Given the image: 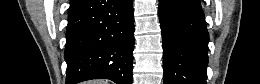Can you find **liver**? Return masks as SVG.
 Wrapping results in <instances>:
<instances>
[{
    "label": "liver",
    "mask_w": 260,
    "mask_h": 84,
    "mask_svg": "<svg viewBox=\"0 0 260 84\" xmlns=\"http://www.w3.org/2000/svg\"><path fill=\"white\" fill-rule=\"evenodd\" d=\"M88 84H108L107 81L104 80H93L90 81Z\"/></svg>",
    "instance_id": "1"
}]
</instances>
